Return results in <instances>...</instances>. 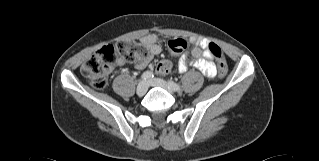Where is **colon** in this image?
Segmentation results:
<instances>
[{
	"label": "colon",
	"mask_w": 319,
	"mask_h": 161,
	"mask_svg": "<svg viewBox=\"0 0 319 161\" xmlns=\"http://www.w3.org/2000/svg\"><path fill=\"white\" fill-rule=\"evenodd\" d=\"M168 48L173 53H182L187 49V42L184 40L172 41ZM210 53L215 57L218 64V76L224 78L227 74V67L224 56L219 46L210 43ZM143 52L142 47L135 46L131 41H119L104 46L93 54L81 67L82 76L96 89H103L108 83V73L114 68L117 58L125 61H134L136 56ZM162 70L169 69V63H159Z\"/></svg>",
	"instance_id": "colon-1"
}]
</instances>
